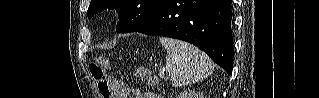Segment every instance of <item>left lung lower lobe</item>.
Here are the masks:
<instances>
[{
    "label": "left lung lower lobe",
    "instance_id": "left-lung-lower-lobe-1",
    "mask_svg": "<svg viewBox=\"0 0 319 98\" xmlns=\"http://www.w3.org/2000/svg\"><path fill=\"white\" fill-rule=\"evenodd\" d=\"M231 20V0H163L152 18L136 32L192 43L230 74Z\"/></svg>",
    "mask_w": 319,
    "mask_h": 98
}]
</instances>
